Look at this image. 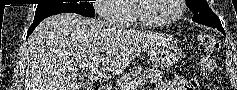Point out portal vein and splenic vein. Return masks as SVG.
I'll return each mask as SVG.
<instances>
[{"mask_svg": "<svg viewBox=\"0 0 237 90\" xmlns=\"http://www.w3.org/2000/svg\"><path fill=\"white\" fill-rule=\"evenodd\" d=\"M84 66H80V70H83ZM93 74H95V72H92V76L91 78H96V76H93ZM99 78H105V80H109V78H111V76H103V74H98ZM99 78H96V80H99ZM116 86H118V90H130V88H132V82L130 84V86H128V84H122V82H117Z\"/></svg>", "mask_w": 237, "mask_h": 90, "instance_id": "18ae733b", "label": "portal vein and splenic vein"}]
</instances>
